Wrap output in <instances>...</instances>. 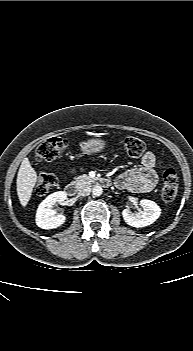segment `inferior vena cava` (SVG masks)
Returning <instances> with one entry per match:
<instances>
[{
	"label": "inferior vena cava",
	"instance_id": "602c4592",
	"mask_svg": "<svg viewBox=\"0 0 193 351\" xmlns=\"http://www.w3.org/2000/svg\"><path fill=\"white\" fill-rule=\"evenodd\" d=\"M91 192V187L88 184H83L78 187V194L80 196H88Z\"/></svg>",
	"mask_w": 193,
	"mask_h": 351
}]
</instances>
